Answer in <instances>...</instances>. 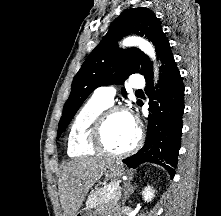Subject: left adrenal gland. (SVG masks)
<instances>
[{"label":"left adrenal gland","instance_id":"obj_1","mask_svg":"<svg viewBox=\"0 0 221 216\" xmlns=\"http://www.w3.org/2000/svg\"><path fill=\"white\" fill-rule=\"evenodd\" d=\"M137 186H131L130 183L129 184H125L124 185V198L122 200V204L125 205L126 200L130 197V194H132L134 192V190L136 189Z\"/></svg>","mask_w":221,"mask_h":216}]
</instances>
